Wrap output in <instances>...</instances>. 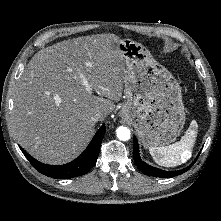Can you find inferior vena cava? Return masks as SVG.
Segmentation results:
<instances>
[{"mask_svg":"<svg viewBox=\"0 0 221 221\" xmlns=\"http://www.w3.org/2000/svg\"><path fill=\"white\" fill-rule=\"evenodd\" d=\"M101 117H102V114L100 111L95 110L90 113V119L94 122L99 121Z\"/></svg>","mask_w":221,"mask_h":221,"instance_id":"602c4592","label":"inferior vena cava"}]
</instances>
